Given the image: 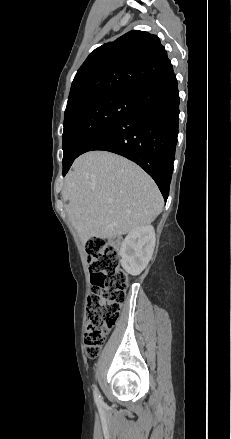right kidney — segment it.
Masks as SVG:
<instances>
[{
  "label": "right kidney",
  "instance_id": "ca27d5eb",
  "mask_svg": "<svg viewBox=\"0 0 231 439\" xmlns=\"http://www.w3.org/2000/svg\"><path fill=\"white\" fill-rule=\"evenodd\" d=\"M155 247L153 226L146 225L128 233L120 248L122 267L131 275H139L150 261Z\"/></svg>",
  "mask_w": 231,
  "mask_h": 439
}]
</instances>
